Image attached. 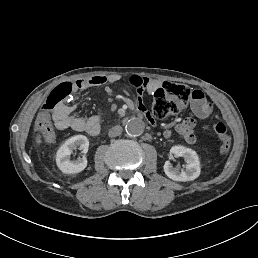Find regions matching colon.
<instances>
[{
  "mask_svg": "<svg viewBox=\"0 0 258 258\" xmlns=\"http://www.w3.org/2000/svg\"><path fill=\"white\" fill-rule=\"evenodd\" d=\"M75 91L76 85L74 82H63L56 86L45 101L43 115L47 116L60 106L65 105ZM191 96V90L184 84L164 83L161 88L153 93L152 114L158 119L176 114L186 105ZM213 129L221 143L220 152L222 154L228 153L231 147V137L226 126L219 122L213 126Z\"/></svg>",
  "mask_w": 258,
  "mask_h": 258,
  "instance_id": "obj_1",
  "label": "colon"
}]
</instances>
